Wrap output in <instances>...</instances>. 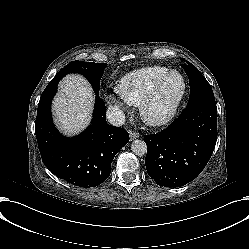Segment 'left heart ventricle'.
<instances>
[{
	"mask_svg": "<svg viewBox=\"0 0 249 249\" xmlns=\"http://www.w3.org/2000/svg\"><path fill=\"white\" fill-rule=\"evenodd\" d=\"M179 91V78L176 75H172L159 91L156 99L147 107L148 115L152 117L163 115L170 108Z\"/></svg>",
	"mask_w": 249,
	"mask_h": 249,
	"instance_id": "obj_1",
	"label": "left heart ventricle"
}]
</instances>
